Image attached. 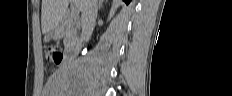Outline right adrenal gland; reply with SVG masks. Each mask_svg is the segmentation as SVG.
Instances as JSON below:
<instances>
[{
    "instance_id": "obj_1",
    "label": "right adrenal gland",
    "mask_w": 232,
    "mask_h": 96,
    "mask_svg": "<svg viewBox=\"0 0 232 96\" xmlns=\"http://www.w3.org/2000/svg\"><path fill=\"white\" fill-rule=\"evenodd\" d=\"M104 1H105V0H99V5H98V9H99V10L102 8L103 2H104Z\"/></svg>"
}]
</instances>
